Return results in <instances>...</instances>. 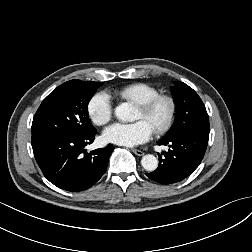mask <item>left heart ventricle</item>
I'll list each match as a JSON object with an SVG mask.
<instances>
[{"label":"left heart ventricle","mask_w":252,"mask_h":252,"mask_svg":"<svg viewBox=\"0 0 252 252\" xmlns=\"http://www.w3.org/2000/svg\"><path fill=\"white\" fill-rule=\"evenodd\" d=\"M160 114H161V110H159V112H158V115H160ZM138 119H144V120H146L147 122H149L153 126V121L150 120V119L144 118V116H143V114H142V112L140 110L138 112Z\"/></svg>","instance_id":"obj_1"}]
</instances>
